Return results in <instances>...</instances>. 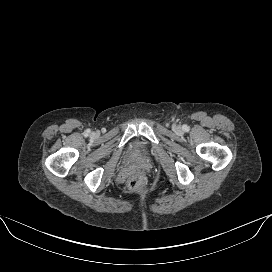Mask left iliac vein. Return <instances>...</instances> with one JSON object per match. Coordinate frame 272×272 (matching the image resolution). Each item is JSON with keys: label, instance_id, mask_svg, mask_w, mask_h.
Masks as SVG:
<instances>
[{"label": "left iliac vein", "instance_id": "1", "mask_svg": "<svg viewBox=\"0 0 272 272\" xmlns=\"http://www.w3.org/2000/svg\"><path fill=\"white\" fill-rule=\"evenodd\" d=\"M175 129H176V131H179V130H180V127H179V126H176Z\"/></svg>", "mask_w": 272, "mask_h": 272}]
</instances>
